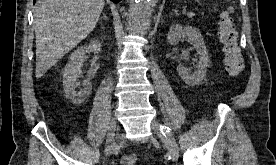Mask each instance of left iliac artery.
<instances>
[{
    "label": "left iliac artery",
    "instance_id": "44dca946",
    "mask_svg": "<svg viewBox=\"0 0 276 165\" xmlns=\"http://www.w3.org/2000/svg\"><path fill=\"white\" fill-rule=\"evenodd\" d=\"M160 130L162 131V134L165 135L167 133H169V128L166 126H160Z\"/></svg>",
    "mask_w": 276,
    "mask_h": 165
}]
</instances>
